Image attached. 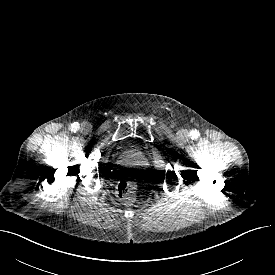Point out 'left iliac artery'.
Returning a JSON list of instances; mask_svg holds the SVG:
<instances>
[{"instance_id": "obj_1", "label": "left iliac artery", "mask_w": 275, "mask_h": 275, "mask_svg": "<svg viewBox=\"0 0 275 275\" xmlns=\"http://www.w3.org/2000/svg\"><path fill=\"white\" fill-rule=\"evenodd\" d=\"M198 136H199V132H198L197 130H192V131L190 132V137H191L192 139H196V138H198Z\"/></svg>"}]
</instances>
